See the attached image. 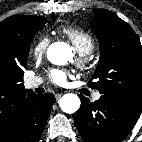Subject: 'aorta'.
<instances>
[{
    "label": "aorta",
    "instance_id": "1",
    "mask_svg": "<svg viewBox=\"0 0 142 142\" xmlns=\"http://www.w3.org/2000/svg\"><path fill=\"white\" fill-rule=\"evenodd\" d=\"M71 52L68 44L56 42L48 48L47 57L55 65H65L71 57ZM59 105L63 112L75 113L80 107V99L76 94L68 93L62 96Z\"/></svg>",
    "mask_w": 142,
    "mask_h": 142
}]
</instances>
